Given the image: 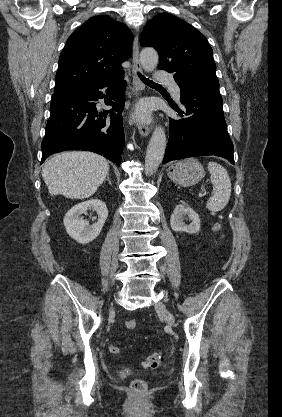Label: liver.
Listing matches in <instances>:
<instances>
[{"label": "liver", "mask_w": 282, "mask_h": 417, "mask_svg": "<svg viewBox=\"0 0 282 417\" xmlns=\"http://www.w3.org/2000/svg\"><path fill=\"white\" fill-rule=\"evenodd\" d=\"M109 174L108 160L95 152H59L44 162L43 180L51 194L88 198Z\"/></svg>", "instance_id": "liver-1"}]
</instances>
